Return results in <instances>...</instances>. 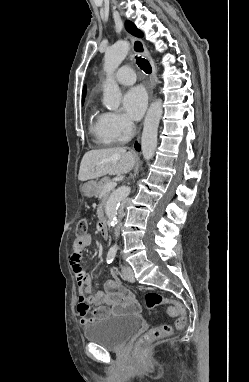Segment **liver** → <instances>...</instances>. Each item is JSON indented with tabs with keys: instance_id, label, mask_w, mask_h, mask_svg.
I'll return each mask as SVG.
<instances>
[{
	"instance_id": "1",
	"label": "liver",
	"mask_w": 249,
	"mask_h": 382,
	"mask_svg": "<svg viewBox=\"0 0 249 382\" xmlns=\"http://www.w3.org/2000/svg\"><path fill=\"white\" fill-rule=\"evenodd\" d=\"M135 162L136 155L121 147L91 150L82 158L78 179L87 181L106 174H127L133 169Z\"/></svg>"
}]
</instances>
